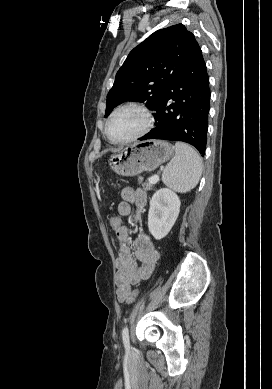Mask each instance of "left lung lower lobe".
<instances>
[{
  "mask_svg": "<svg viewBox=\"0 0 272 389\" xmlns=\"http://www.w3.org/2000/svg\"><path fill=\"white\" fill-rule=\"evenodd\" d=\"M209 100V77L200 49L165 89L155 108L156 128L140 140L182 141L204 154Z\"/></svg>",
  "mask_w": 272,
  "mask_h": 389,
  "instance_id": "obj_1",
  "label": "left lung lower lobe"
}]
</instances>
